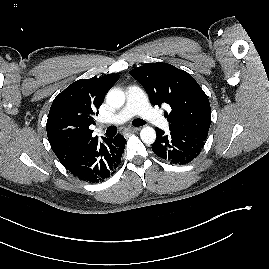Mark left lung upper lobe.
<instances>
[{
  "mask_svg": "<svg viewBox=\"0 0 269 269\" xmlns=\"http://www.w3.org/2000/svg\"><path fill=\"white\" fill-rule=\"evenodd\" d=\"M129 74L147 91L153 105L168 104L165 112L170 130L208 131L211 108L207 95L195 79L175 66L157 62L132 69Z\"/></svg>",
  "mask_w": 269,
  "mask_h": 269,
  "instance_id": "1",
  "label": "left lung upper lobe"
}]
</instances>
